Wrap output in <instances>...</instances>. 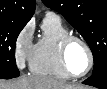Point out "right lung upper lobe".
<instances>
[{
	"mask_svg": "<svg viewBox=\"0 0 107 89\" xmlns=\"http://www.w3.org/2000/svg\"><path fill=\"white\" fill-rule=\"evenodd\" d=\"M35 11V0H0V19L27 23Z\"/></svg>",
	"mask_w": 107,
	"mask_h": 89,
	"instance_id": "obj_1",
	"label": "right lung upper lobe"
}]
</instances>
